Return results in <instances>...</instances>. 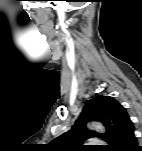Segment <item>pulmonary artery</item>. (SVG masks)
Here are the masks:
<instances>
[{"mask_svg":"<svg viewBox=\"0 0 142 151\" xmlns=\"http://www.w3.org/2000/svg\"><path fill=\"white\" fill-rule=\"evenodd\" d=\"M91 143H92V144H100L101 141H100V140H97V139H93V140H91Z\"/></svg>","mask_w":142,"mask_h":151,"instance_id":"e3ab8cb5","label":"pulmonary artery"}]
</instances>
